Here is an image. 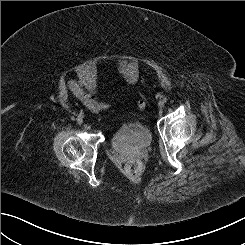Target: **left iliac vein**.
I'll return each instance as SVG.
<instances>
[{
  "mask_svg": "<svg viewBox=\"0 0 245 245\" xmlns=\"http://www.w3.org/2000/svg\"><path fill=\"white\" fill-rule=\"evenodd\" d=\"M158 106H159V107H163V106H164V102H163V101H159V102H158Z\"/></svg>",
  "mask_w": 245,
  "mask_h": 245,
  "instance_id": "left-iliac-vein-1",
  "label": "left iliac vein"
}]
</instances>
